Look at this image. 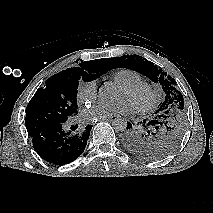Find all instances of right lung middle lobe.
<instances>
[{"mask_svg": "<svg viewBox=\"0 0 213 213\" xmlns=\"http://www.w3.org/2000/svg\"><path fill=\"white\" fill-rule=\"evenodd\" d=\"M107 69L80 63L79 67L63 70L53 75L43 88H39L26 108L25 124L30 136L44 127L65 123L77 112V88L79 80L90 82Z\"/></svg>", "mask_w": 213, "mask_h": 213, "instance_id": "right-lung-middle-lobe-1", "label": "right lung middle lobe"}]
</instances>
